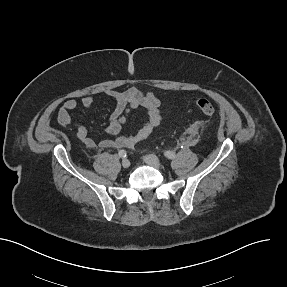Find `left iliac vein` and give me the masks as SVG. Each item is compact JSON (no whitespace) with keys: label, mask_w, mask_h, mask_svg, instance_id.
<instances>
[{"label":"left iliac vein","mask_w":287,"mask_h":287,"mask_svg":"<svg viewBox=\"0 0 287 287\" xmlns=\"http://www.w3.org/2000/svg\"><path fill=\"white\" fill-rule=\"evenodd\" d=\"M143 159L145 163L155 168H161L163 166L162 162L155 155H146Z\"/></svg>","instance_id":"1"}]
</instances>
